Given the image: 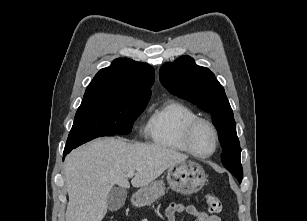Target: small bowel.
<instances>
[{
    "mask_svg": "<svg viewBox=\"0 0 307 221\" xmlns=\"http://www.w3.org/2000/svg\"><path fill=\"white\" fill-rule=\"evenodd\" d=\"M180 214L193 215L197 221H221V218L216 214H208L204 211L197 210L193 205L181 203H171L165 212L167 221H175L176 216Z\"/></svg>",
    "mask_w": 307,
    "mask_h": 221,
    "instance_id": "1",
    "label": "small bowel"
}]
</instances>
